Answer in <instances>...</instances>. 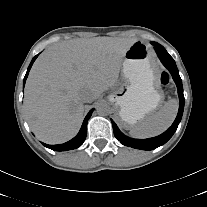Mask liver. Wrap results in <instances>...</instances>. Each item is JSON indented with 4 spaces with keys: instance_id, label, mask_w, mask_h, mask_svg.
Returning <instances> with one entry per match:
<instances>
[{
    "instance_id": "6515ba94",
    "label": "liver",
    "mask_w": 207,
    "mask_h": 207,
    "mask_svg": "<svg viewBox=\"0 0 207 207\" xmlns=\"http://www.w3.org/2000/svg\"><path fill=\"white\" fill-rule=\"evenodd\" d=\"M136 39L94 37L49 46L28 76L24 110L30 129L48 144L73 138L83 121V92L93 101L116 84L126 51Z\"/></svg>"
}]
</instances>
